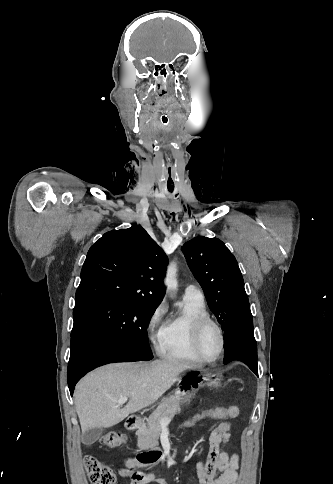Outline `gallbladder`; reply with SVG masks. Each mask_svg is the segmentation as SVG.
Masks as SVG:
<instances>
[{"label":"gallbladder","mask_w":333,"mask_h":484,"mask_svg":"<svg viewBox=\"0 0 333 484\" xmlns=\"http://www.w3.org/2000/svg\"><path fill=\"white\" fill-rule=\"evenodd\" d=\"M102 432V427L91 428L83 434L82 442L85 444H92L100 437Z\"/></svg>","instance_id":"obj_1"}]
</instances>
